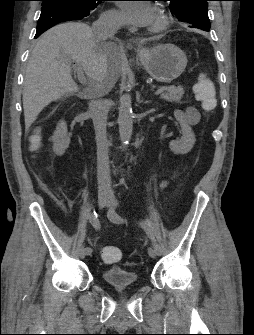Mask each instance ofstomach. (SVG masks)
<instances>
[{"mask_svg": "<svg viewBox=\"0 0 254 335\" xmlns=\"http://www.w3.org/2000/svg\"><path fill=\"white\" fill-rule=\"evenodd\" d=\"M138 57L146 72L160 83H170L178 78L188 62L186 54L171 43L141 49Z\"/></svg>", "mask_w": 254, "mask_h": 335, "instance_id": "1", "label": "stomach"}]
</instances>
